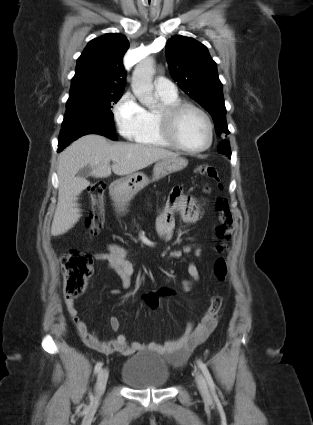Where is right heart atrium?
Listing matches in <instances>:
<instances>
[{
  "instance_id": "d8ad5b80",
  "label": "right heart atrium",
  "mask_w": 313,
  "mask_h": 425,
  "mask_svg": "<svg viewBox=\"0 0 313 425\" xmlns=\"http://www.w3.org/2000/svg\"><path fill=\"white\" fill-rule=\"evenodd\" d=\"M113 114L120 134L128 139H137L148 127V112L132 93L119 99Z\"/></svg>"
}]
</instances>
